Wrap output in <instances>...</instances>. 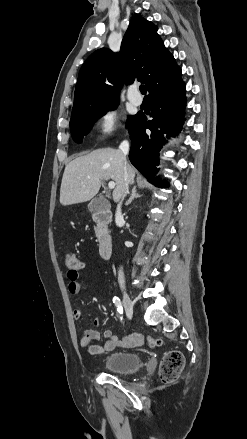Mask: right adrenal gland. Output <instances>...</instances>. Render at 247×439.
<instances>
[{
	"label": "right adrenal gland",
	"mask_w": 247,
	"mask_h": 439,
	"mask_svg": "<svg viewBox=\"0 0 247 439\" xmlns=\"http://www.w3.org/2000/svg\"><path fill=\"white\" fill-rule=\"evenodd\" d=\"M139 197H141V195L137 193V186H134L133 189H132L131 197L129 198L128 201H126L125 205H129V204H131V202H132L135 198H139Z\"/></svg>",
	"instance_id": "2a0ac1e0"
}]
</instances>
